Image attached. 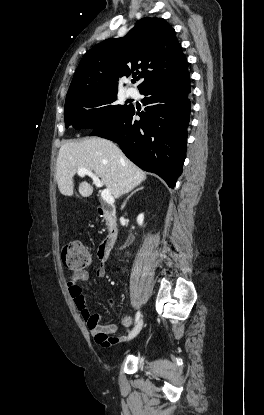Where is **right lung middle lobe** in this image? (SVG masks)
Wrapping results in <instances>:
<instances>
[{"mask_svg":"<svg viewBox=\"0 0 264 415\" xmlns=\"http://www.w3.org/2000/svg\"><path fill=\"white\" fill-rule=\"evenodd\" d=\"M116 92L85 94L70 97L65 101V126L76 129H95L113 121L130 105L114 104ZM104 107L96 109L98 106Z\"/></svg>","mask_w":264,"mask_h":415,"instance_id":"obj_1","label":"right lung middle lobe"}]
</instances>
